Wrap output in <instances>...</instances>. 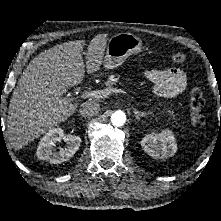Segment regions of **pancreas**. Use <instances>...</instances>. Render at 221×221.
<instances>
[{
  "instance_id": "cf45deb5",
  "label": "pancreas",
  "mask_w": 221,
  "mask_h": 221,
  "mask_svg": "<svg viewBox=\"0 0 221 221\" xmlns=\"http://www.w3.org/2000/svg\"><path fill=\"white\" fill-rule=\"evenodd\" d=\"M119 81V76L118 75H111L109 76L108 80L106 81V86L107 88H112L113 85H116ZM166 112L170 113V115L173 117L174 116V112L166 109Z\"/></svg>"
}]
</instances>
